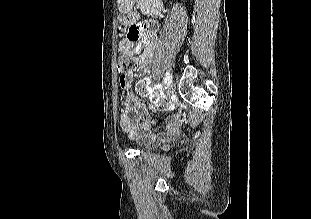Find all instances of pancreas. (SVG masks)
Segmentation results:
<instances>
[{
	"mask_svg": "<svg viewBox=\"0 0 311 219\" xmlns=\"http://www.w3.org/2000/svg\"><path fill=\"white\" fill-rule=\"evenodd\" d=\"M157 6L155 0H138L134 9H141L142 13L147 14Z\"/></svg>",
	"mask_w": 311,
	"mask_h": 219,
	"instance_id": "1",
	"label": "pancreas"
}]
</instances>
